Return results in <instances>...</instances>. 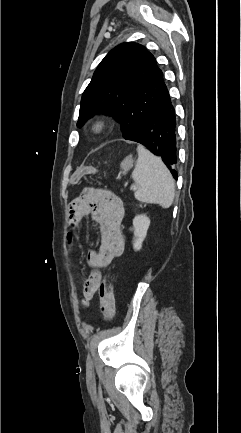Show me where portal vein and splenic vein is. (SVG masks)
Segmentation results:
<instances>
[{"instance_id": "obj_1", "label": "portal vein and splenic vein", "mask_w": 241, "mask_h": 433, "mask_svg": "<svg viewBox=\"0 0 241 433\" xmlns=\"http://www.w3.org/2000/svg\"><path fill=\"white\" fill-rule=\"evenodd\" d=\"M132 188H133L134 190H137L138 187H137V186H133Z\"/></svg>"}]
</instances>
